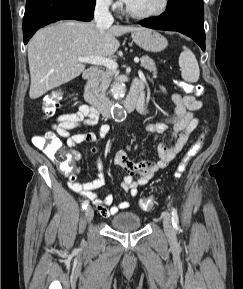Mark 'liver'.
Masks as SVG:
<instances>
[{"label": "liver", "mask_w": 243, "mask_h": 289, "mask_svg": "<svg viewBox=\"0 0 243 289\" xmlns=\"http://www.w3.org/2000/svg\"><path fill=\"white\" fill-rule=\"evenodd\" d=\"M140 29L113 25L101 35L94 22L61 21L38 30L28 43L30 98L78 77L85 70L78 56L111 57L120 46L116 37Z\"/></svg>", "instance_id": "6515ba94"}]
</instances>
